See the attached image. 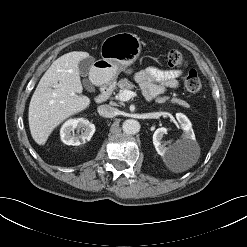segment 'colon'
Listing matches in <instances>:
<instances>
[{"mask_svg": "<svg viewBox=\"0 0 247 247\" xmlns=\"http://www.w3.org/2000/svg\"><path fill=\"white\" fill-rule=\"evenodd\" d=\"M166 60L170 67L185 68L187 61L184 55L175 49L169 50L166 54ZM184 86L190 93H198L201 89V79L195 69H188L184 78Z\"/></svg>", "mask_w": 247, "mask_h": 247, "instance_id": "5ec220e1", "label": "colon"}]
</instances>
